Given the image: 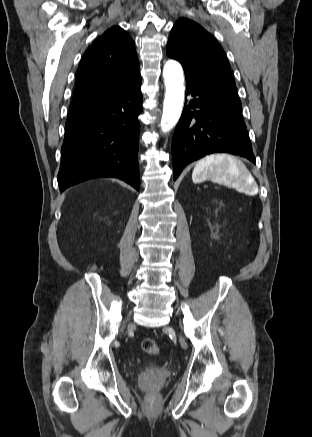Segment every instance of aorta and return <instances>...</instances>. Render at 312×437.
Masks as SVG:
<instances>
[{"label":"aorta","instance_id":"762f6f07","mask_svg":"<svg viewBox=\"0 0 312 437\" xmlns=\"http://www.w3.org/2000/svg\"><path fill=\"white\" fill-rule=\"evenodd\" d=\"M163 76L166 94L161 128L163 132H168L177 124L183 109L184 76L181 65L175 60H169L164 65Z\"/></svg>","mask_w":312,"mask_h":437}]
</instances>
